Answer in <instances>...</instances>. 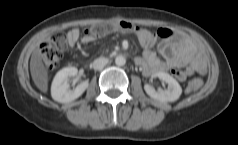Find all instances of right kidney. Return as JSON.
Returning <instances> with one entry per match:
<instances>
[{"label": "right kidney", "instance_id": "1", "mask_svg": "<svg viewBox=\"0 0 238 145\" xmlns=\"http://www.w3.org/2000/svg\"><path fill=\"white\" fill-rule=\"evenodd\" d=\"M78 69L68 66L57 72L51 85V96L59 103H69L80 97L88 88V81L80 83L74 90L69 89L68 80L77 75Z\"/></svg>", "mask_w": 238, "mask_h": 145}]
</instances>
